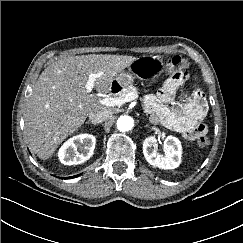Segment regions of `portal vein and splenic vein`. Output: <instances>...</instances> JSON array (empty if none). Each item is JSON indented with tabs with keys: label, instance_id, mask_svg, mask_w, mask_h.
<instances>
[{
	"label": "portal vein and splenic vein",
	"instance_id": "portal-vein-and-splenic-vein-1",
	"mask_svg": "<svg viewBox=\"0 0 243 243\" xmlns=\"http://www.w3.org/2000/svg\"><path fill=\"white\" fill-rule=\"evenodd\" d=\"M100 75H101V73L89 75L88 81L86 83V90L88 93H91V91L94 88L96 78L99 77ZM137 98H138L137 93L131 92V93L127 94L124 98L109 97V98L99 99V102L105 106L115 107V106H121V105H123L127 102H130L132 100H135Z\"/></svg>",
	"mask_w": 243,
	"mask_h": 243
}]
</instances>
